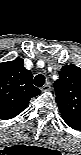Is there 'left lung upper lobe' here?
<instances>
[{
  "mask_svg": "<svg viewBox=\"0 0 81 155\" xmlns=\"http://www.w3.org/2000/svg\"><path fill=\"white\" fill-rule=\"evenodd\" d=\"M54 82L56 102L63 120L81 123V69L65 65Z\"/></svg>",
  "mask_w": 81,
  "mask_h": 155,
  "instance_id": "1",
  "label": "left lung upper lobe"
}]
</instances>
